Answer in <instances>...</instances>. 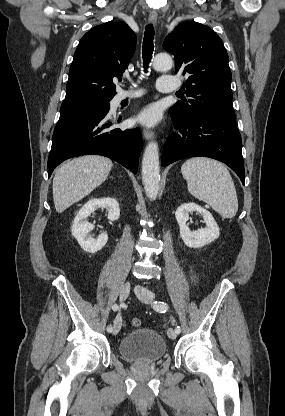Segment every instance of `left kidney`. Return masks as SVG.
<instances>
[{"label": "left kidney", "mask_w": 285, "mask_h": 416, "mask_svg": "<svg viewBox=\"0 0 285 416\" xmlns=\"http://www.w3.org/2000/svg\"><path fill=\"white\" fill-rule=\"evenodd\" d=\"M191 212H198V214H202L207 228H201V230L191 232L186 224L189 220V214H191ZM175 216L179 224L180 236L188 248H202V246L211 244V242H214V240L219 238V228L213 216H211L208 210L201 208V206H197V204H182V206L177 208Z\"/></svg>", "instance_id": "obj_1"}]
</instances>
